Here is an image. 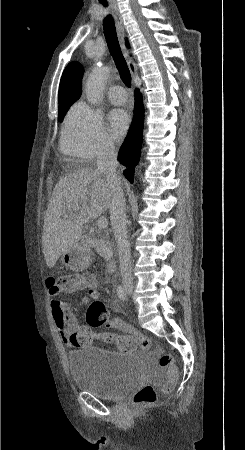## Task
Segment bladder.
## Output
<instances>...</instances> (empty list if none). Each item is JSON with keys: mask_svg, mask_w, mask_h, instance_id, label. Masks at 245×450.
Listing matches in <instances>:
<instances>
[{"mask_svg": "<svg viewBox=\"0 0 245 450\" xmlns=\"http://www.w3.org/2000/svg\"><path fill=\"white\" fill-rule=\"evenodd\" d=\"M75 387L103 400H115L139 388L146 378L140 356L100 347L66 353Z\"/></svg>", "mask_w": 245, "mask_h": 450, "instance_id": "1", "label": "bladder"}]
</instances>
